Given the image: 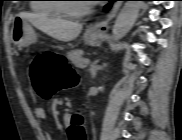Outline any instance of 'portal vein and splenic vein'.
<instances>
[{
  "mask_svg": "<svg viewBox=\"0 0 182 140\" xmlns=\"http://www.w3.org/2000/svg\"><path fill=\"white\" fill-rule=\"evenodd\" d=\"M83 63H84L85 65H88V64L90 63V59H84V60H83Z\"/></svg>",
  "mask_w": 182,
  "mask_h": 140,
  "instance_id": "obj_1",
  "label": "portal vein and splenic vein"
}]
</instances>
